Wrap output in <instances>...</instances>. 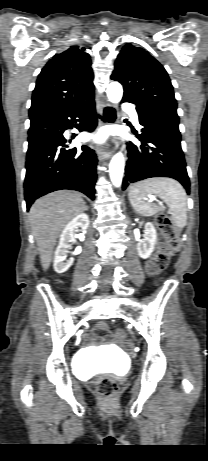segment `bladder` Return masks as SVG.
<instances>
[{
  "instance_id": "1",
  "label": "bladder",
  "mask_w": 208,
  "mask_h": 461,
  "mask_svg": "<svg viewBox=\"0 0 208 461\" xmlns=\"http://www.w3.org/2000/svg\"><path fill=\"white\" fill-rule=\"evenodd\" d=\"M81 361L79 363V366L81 369H86L89 368L92 364H96L95 368L97 370H102L103 367H110V370L117 373V374H122L125 371V368H121L119 364L114 363V362H107L103 360H94L92 357L88 356L86 353H81Z\"/></svg>"
}]
</instances>
